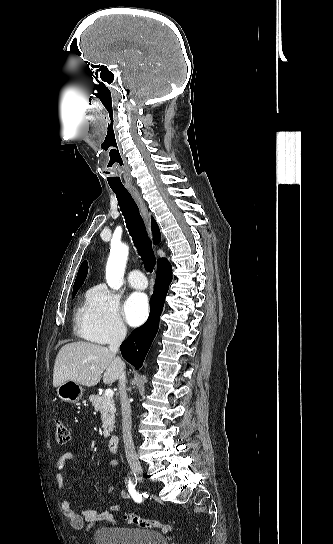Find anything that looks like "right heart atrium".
I'll use <instances>...</instances> for the list:
<instances>
[{
  "instance_id": "right-heart-atrium-1",
  "label": "right heart atrium",
  "mask_w": 333,
  "mask_h": 544,
  "mask_svg": "<svg viewBox=\"0 0 333 544\" xmlns=\"http://www.w3.org/2000/svg\"><path fill=\"white\" fill-rule=\"evenodd\" d=\"M78 324L81 334L98 344L119 342L127 335L119 298L103 286L95 287L88 294Z\"/></svg>"
}]
</instances>
